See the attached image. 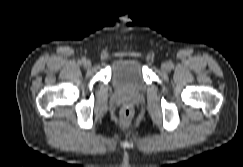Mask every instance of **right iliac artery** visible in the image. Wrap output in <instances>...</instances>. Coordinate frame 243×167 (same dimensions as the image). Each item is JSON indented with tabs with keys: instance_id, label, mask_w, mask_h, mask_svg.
I'll use <instances>...</instances> for the list:
<instances>
[{
	"instance_id": "right-iliac-artery-1",
	"label": "right iliac artery",
	"mask_w": 243,
	"mask_h": 167,
	"mask_svg": "<svg viewBox=\"0 0 243 167\" xmlns=\"http://www.w3.org/2000/svg\"><path fill=\"white\" fill-rule=\"evenodd\" d=\"M84 61H85V59L83 58V59H81V61H80L79 63L81 64V63H83Z\"/></svg>"
}]
</instances>
